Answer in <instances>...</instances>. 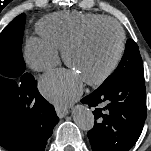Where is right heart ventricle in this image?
Returning <instances> with one entry per match:
<instances>
[{
	"mask_svg": "<svg viewBox=\"0 0 151 151\" xmlns=\"http://www.w3.org/2000/svg\"><path fill=\"white\" fill-rule=\"evenodd\" d=\"M104 18L107 17L93 13L60 12L43 17L36 28L45 42L62 50L85 27Z\"/></svg>",
	"mask_w": 151,
	"mask_h": 151,
	"instance_id": "right-heart-ventricle-1",
	"label": "right heart ventricle"
}]
</instances>
